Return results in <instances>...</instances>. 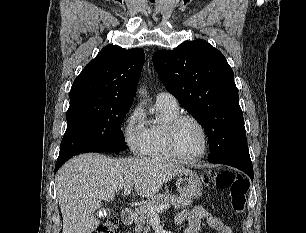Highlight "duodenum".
Instances as JSON below:
<instances>
[{"mask_svg":"<svg viewBox=\"0 0 306 233\" xmlns=\"http://www.w3.org/2000/svg\"><path fill=\"white\" fill-rule=\"evenodd\" d=\"M133 211L130 208H124L121 211V220L123 224L130 225L133 222Z\"/></svg>","mask_w":306,"mask_h":233,"instance_id":"obj_1","label":"duodenum"}]
</instances>
